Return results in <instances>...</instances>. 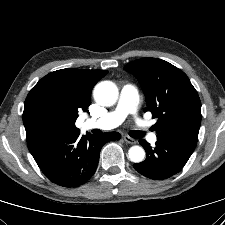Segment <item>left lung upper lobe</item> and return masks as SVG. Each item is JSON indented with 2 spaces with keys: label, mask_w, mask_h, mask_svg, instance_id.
<instances>
[{
  "label": "left lung upper lobe",
  "mask_w": 225,
  "mask_h": 225,
  "mask_svg": "<svg viewBox=\"0 0 225 225\" xmlns=\"http://www.w3.org/2000/svg\"><path fill=\"white\" fill-rule=\"evenodd\" d=\"M125 70L141 84L147 102L144 111L158 118V140L170 141L194 151L201 124V102L187 75L157 58L128 63Z\"/></svg>",
  "instance_id": "1"
}]
</instances>
